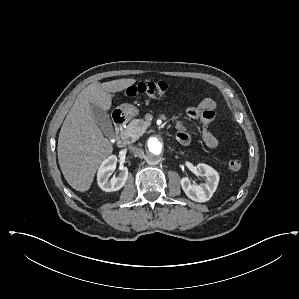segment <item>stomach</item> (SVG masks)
Masks as SVG:
<instances>
[{
    "label": "stomach",
    "mask_w": 299,
    "mask_h": 299,
    "mask_svg": "<svg viewBox=\"0 0 299 299\" xmlns=\"http://www.w3.org/2000/svg\"><path fill=\"white\" fill-rule=\"evenodd\" d=\"M118 109L125 116L126 119H131L138 115L139 110L132 104L124 103L118 106Z\"/></svg>",
    "instance_id": "obj_1"
}]
</instances>
